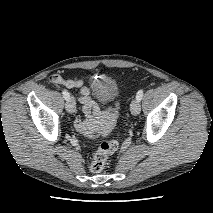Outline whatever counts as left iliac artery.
<instances>
[{
  "instance_id": "left-iliac-artery-1",
  "label": "left iliac artery",
  "mask_w": 213,
  "mask_h": 213,
  "mask_svg": "<svg viewBox=\"0 0 213 213\" xmlns=\"http://www.w3.org/2000/svg\"><path fill=\"white\" fill-rule=\"evenodd\" d=\"M142 97H143V90L140 89L136 94V98L140 101Z\"/></svg>"
}]
</instances>
